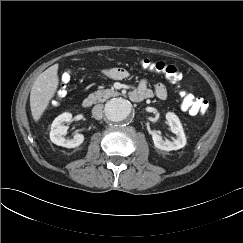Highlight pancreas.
<instances>
[{
  "mask_svg": "<svg viewBox=\"0 0 243 243\" xmlns=\"http://www.w3.org/2000/svg\"><path fill=\"white\" fill-rule=\"evenodd\" d=\"M120 93L112 89L98 90L89 95V99H91L95 103L104 102L110 97L119 96Z\"/></svg>",
  "mask_w": 243,
  "mask_h": 243,
  "instance_id": "cf45deb5",
  "label": "pancreas"
}]
</instances>
